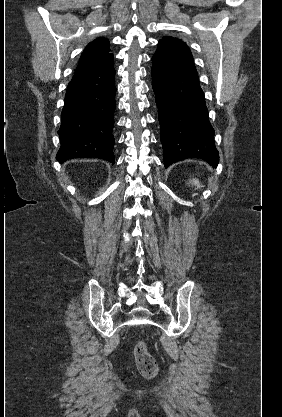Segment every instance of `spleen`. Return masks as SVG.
Wrapping results in <instances>:
<instances>
[{
    "instance_id": "3e777b00",
    "label": "spleen",
    "mask_w": 282,
    "mask_h": 417,
    "mask_svg": "<svg viewBox=\"0 0 282 417\" xmlns=\"http://www.w3.org/2000/svg\"><path fill=\"white\" fill-rule=\"evenodd\" d=\"M187 184H195V186H201L198 178H192V180H189V182H187Z\"/></svg>"
}]
</instances>
